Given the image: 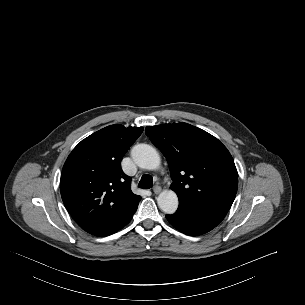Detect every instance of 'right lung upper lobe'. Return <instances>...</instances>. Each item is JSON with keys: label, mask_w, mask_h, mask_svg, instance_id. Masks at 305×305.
Segmentation results:
<instances>
[{"label": "right lung upper lobe", "mask_w": 305, "mask_h": 305, "mask_svg": "<svg viewBox=\"0 0 305 305\" xmlns=\"http://www.w3.org/2000/svg\"><path fill=\"white\" fill-rule=\"evenodd\" d=\"M143 127H105L82 140L68 156L60 191L66 209L86 232L114 228L137 210L141 199L130 190L120 162Z\"/></svg>", "instance_id": "1"}]
</instances>
